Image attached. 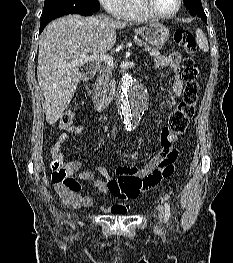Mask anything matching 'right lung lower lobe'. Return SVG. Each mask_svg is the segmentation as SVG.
I'll use <instances>...</instances> for the list:
<instances>
[{"instance_id":"right-lung-lower-lobe-1","label":"right lung lower lobe","mask_w":233,"mask_h":263,"mask_svg":"<svg viewBox=\"0 0 233 263\" xmlns=\"http://www.w3.org/2000/svg\"><path fill=\"white\" fill-rule=\"evenodd\" d=\"M93 13H94V11L81 8L77 14H81V15H84V16H88V15H92ZM49 22H50V21H47V22L41 21L39 33H41V32L43 31V29L45 28V26H46Z\"/></svg>"}]
</instances>
